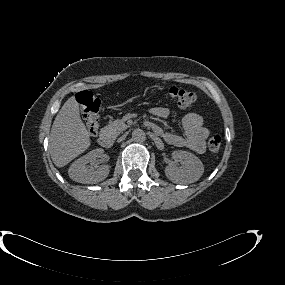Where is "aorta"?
<instances>
[{"mask_svg":"<svg viewBox=\"0 0 285 285\" xmlns=\"http://www.w3.org/2000/svg\"><path fill=\"white\" fill-rule=\"evenodd\" d=\"M132 138L135 142H144L146 140V134L142 129H135L132 132Z\"/></svg>","mask_w":285,"mask_h":285,"instance_id":"762f6f07","label":"aorta"}]
</instances>
